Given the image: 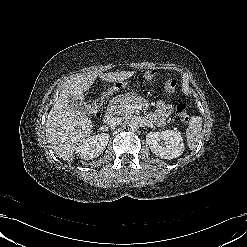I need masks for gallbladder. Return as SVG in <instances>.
<instances>
[{
    "label": "gallbladder",
    "mask_w": 247,
    "mask_h": 247,
    "mask_svg": "<svg viewBox=\"0 0 247 247\" xmlns=\"http://www.w3.org/2000/svg\"><path fill=\"white\" fill-rule=\"evenodd\" d=\"M69 101H70V104H71L72 106H74L77 110H80V111H82V112L87 113V112L89 111V109H90L89 106H87V105L84 104V103H81V102L77 101V100H76L74 97H72V96L69 98Z\"/></svg>",
    "instance_id": "1"
}]
</instances>
